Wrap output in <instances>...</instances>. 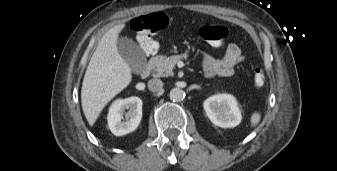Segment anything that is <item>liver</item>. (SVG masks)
Returning a JSON list of instances; mask_svg holds the SVG:
<instances>
[{"label": "liver", "instance_id": "obj_1", "mask_svg": "<svg viewBox=\"0 0 337 171\" xmlns=\"http://www.w3.org/2000/svg\"><path fill=\"white\" fill-rule=\"evenodd\" d=\"M125 24L108 30L88 64L81 88V103L88 123L93 126L106 104L132 80L131 68L118 52L119 33Z\"/></svg>", "mask_w": 337, "mask_h": 171}]
</instances>
